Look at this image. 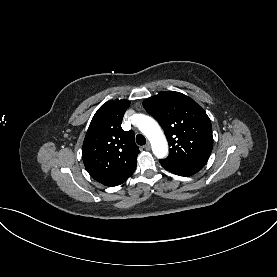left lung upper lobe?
<instances>
[{"label":"left lung upper lobe","mask_w":277,"mask_h":277,"mask_svg":"<svg viewBox=\"0 0 277 277\" xmlns=\"http://www.w3.org/2000/svg\"><path fill=\"white\" fill-rule=\"evenodd\" d=\"M143 106L164 129L170 153L161 165L202 169L213 148L212 126L206 112L190 97L160 92Z\"/></svg>","instance_id":"obj_1"}]
</instances>
